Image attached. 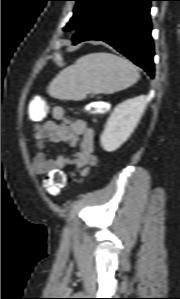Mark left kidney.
<instances>
[{
	"label": "left kidney",
	"mask_w": 180,
	"mask_h": 299,
	"mask_svg": "<svg viewBox=\"0 0 180 299\" xmlns=\"http://www.w3.org/2000/svg\"><path fill=\"white\" fill-rule=\"evenodd\" d=\"M146 103V97L141 95L115 107L100 139L105 151L113 152L128 140L144 113Z\"/></svg>",
	"instance_id": "left-kidney-1"
}]
</instances>
